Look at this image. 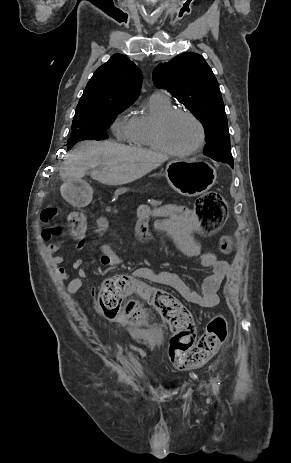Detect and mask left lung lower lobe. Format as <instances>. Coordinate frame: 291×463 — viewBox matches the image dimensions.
Wrapping results in <instances>:
<instances>
[{"label": "left lung lower lobe", "mask_w": 291, "mask_h": 463, "mask_svg": "<svg viewBox=\"0 0 291 463\" xmlns=\"http://www.w3.org/2000/svg\"><path fill=\"white\" fill-rule=\"evenodd\" d=\"M216 161H220V162H227L232 168H233V160L231 159H227V158H223V159H218Z\"/></svg>", "instance_id": "0a47b994"}]
</instances>
